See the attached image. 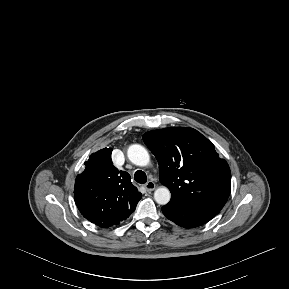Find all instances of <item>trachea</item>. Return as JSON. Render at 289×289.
Segmentation results:
<instances>
[{"label":"trachea","mask_w":289,"mask_h":289,"mask_svg":"<svg viewBox=\"0 0 289 289\" xmlns=\"http://www.w3.org/2000/svg\"><path fill=\"white\" fill-rule=\"evenodd\" d=\"M134 180L140 184L147 182V176L142 170H137L134 174Z\"/></svg>","instance_id":"1"}]
</instances>
